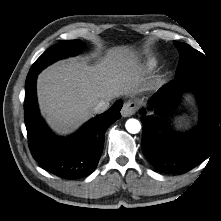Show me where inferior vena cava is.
I'll return each instance as SVG.
<instances>
[{
	"mask_svg": "<svg viewBox=\"0 0 221 221\" xmlns=\"http://www.w3.org/2000/svg\"><path fill=\"white\" fill-rule=\"evenodd\" d=\"M109 101L101 100L97 103V105L93 108V112L95 114H100L105 112L109 108Z\"/></svg>",
	"mask_w": 221,
	"mask_h": 221,
	"instance_id": "602c4592",
	"label": "inferior vena cava"
}]
</instances>
